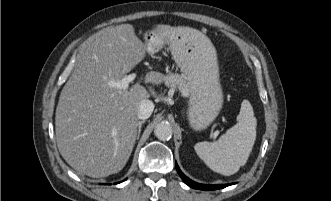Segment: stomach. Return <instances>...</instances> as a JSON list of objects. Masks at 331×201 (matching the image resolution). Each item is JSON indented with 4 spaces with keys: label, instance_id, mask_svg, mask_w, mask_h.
<instances>
[{
    "label": "stomach",
    "instance_id": "1",
    "mask_svg": "<svg viewBox=\"0 0 331 201\" xmlns=\"http://www.w3.org/2000/svg\"><path fill=\"white\" fill-rule=\"evenodd\" d=\"M145 39L150 53L163 46L155 40V30L149 31ZM165 44L187 80L189 124L196 131L205 130L223 105L216 50L206 35L189 27H176Z\"/></svg>",
    "mask_w": 331,
    "mask_h": 201
}]
</instances>
